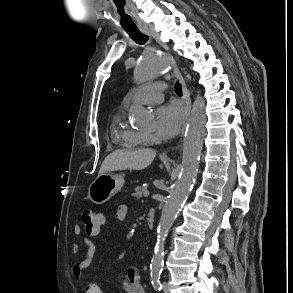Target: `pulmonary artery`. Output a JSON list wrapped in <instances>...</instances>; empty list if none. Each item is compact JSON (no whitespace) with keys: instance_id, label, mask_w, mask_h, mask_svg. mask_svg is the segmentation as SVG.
<instances>
[{"instance_id":"1","label":"pulmonary artery","mask_w":293,"mask_h":293,"mask_svg":"<svg viewBox=\"0 0 293 293\" xmlns=\"http://www.w3.org/2000/svg\"><path fill=\"white\" fill-rule=\"evenodd\" d=\"M164 88L165 85L160 82L144 85L134 91L131 95V100L142 104L158 103L163 98L162 91Z\"/></svg>"}]
</instances>
